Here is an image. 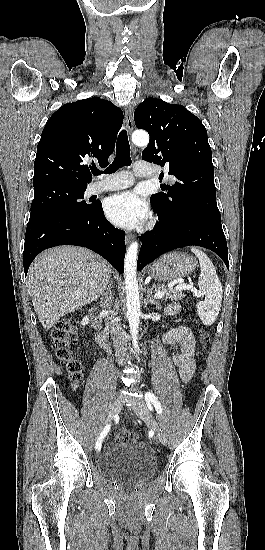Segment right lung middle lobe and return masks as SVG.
<instances>
[{
	"mask_svg": "<svg viewBox=\"0 0 265 550\" xmlns=\"http://www.w3.org/2000/svg\"><path fill=\"white\" fill-rule=\"evenodd\" d=\"M30 218L57 211H85L94 203L82 201L86 189H74L63 185H47L35 188Z\"/></svg>",
	"mask_w": 265,
	"mask_h": 550,
	"instance_id": "right-lung-middle-lobe-1",
	"label": "right lung middle lobe"
}]
</instances>
